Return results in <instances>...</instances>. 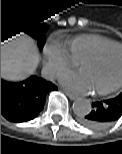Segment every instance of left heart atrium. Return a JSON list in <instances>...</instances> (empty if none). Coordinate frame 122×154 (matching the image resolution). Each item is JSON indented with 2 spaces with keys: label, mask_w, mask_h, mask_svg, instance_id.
I'll list each match as a JSON object with an SVG mask.
<instances>
[{
  "label": "left heart atrium",
  "mask_w": 122,
  "mask_h": 154,
  "mask_svg": "<svg viewBox=\"0 0 122 154\" xmlns=\"http://www.w3.org/2000/svg\"><path fill=\"white\" fill-rule=\"evenodd\" d=\"M61 83L68 89L76 92H88L89 85L81 71L65 73L60 77Z\"/></svg>",
  "instance_id": "obj_1"
}]
</instances>
